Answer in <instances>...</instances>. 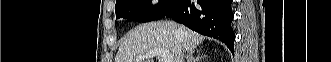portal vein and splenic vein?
I'll return each mask as SVG.
<instances>
[{
	"instance_id": "1",
	"label": "portal vein and splenic vein",
	"mask_w": 331,
	"mask_h": 62,
	"mask_svg": "<svg viewBox=\"0 0 331 62\" xmlns=\"http://www.w3.org/2000/svg\"><path fill=\"white\" fill-rule=\"evenodd\" d=\"M156 55L161 56L163 59V62H174L173 56L165 48H156V49L150 50L140 59L150 58V57H153Z\"/></svg>"
}]
</instances>
